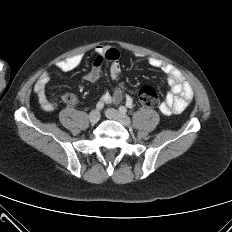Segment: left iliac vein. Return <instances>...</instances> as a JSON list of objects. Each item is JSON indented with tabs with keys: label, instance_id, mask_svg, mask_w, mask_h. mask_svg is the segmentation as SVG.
I'll return each instance as SVG.
<instances>
[{
	"label": "left iliac vein",
	"instance_id": "obj_1",
	"mask_svg": "<svg viewBox=\"0 0 232 232\" xmlns=\"http://www.w3.org/2000/svg\"><path fill=\"white\" fill-rule=\"evenodd\" d=\"M105 114L109 119L117 120L124 126H130L131 124L130 118L125 113L119 112L115 109L109 108L105 111Z\"/></svg>",
	"mask_w": 232,
	"mask_h": 232
}]
</instances>
